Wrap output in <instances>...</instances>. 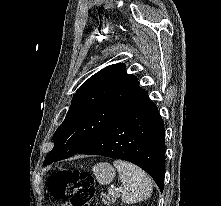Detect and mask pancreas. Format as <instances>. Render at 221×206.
<instances>
[{
	"label": "pancreas",
	"mask_w": 221,
	"mask_h": 206,
	"mask_svg": "<svg viewBox=\"0 0 221 206\" xmlns=\"http://www.w3.org/2000/svg\"><path fill=\"white\" fill-rule=\"evenodd\" d=\"M119 197V193L118 192H114V193H109L106 197H101L102 198V202L105 205H109L111 202L115 203L116 199Z\"/></svg>",
	"instance_id": "obj_1"
}]
</instances>
